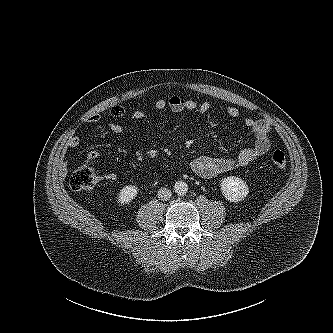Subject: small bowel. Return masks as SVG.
Segmentation results:
<instances>
[{
	"instance_id": "small-bowel-1",
	"label": "small bowel",
	"mask_w": 333,
	"mask_h": 333,
	"mask_svg": "<svg viewBox=\"0 0 333 333\" xmlns=\"http://www.w3.org/2000/svg\"><path fill=\"white\" fill-rule=\"evenodd\" d=\"M155 108L160 111L170 110L173 113L206 114L211 110V104L209 102H196L180 95H173L167 99L157 100ZM226 113L233 119H237L241 115L239 109L235 106L226 107ZM110 114L114 117H123L126 114V109L121 105H116L110 108ZM147 117V113L142 110H136L131 113V118L136 121L145 120ZM100 120L101 116L94 114L88 119V122L95 124ZM243 123L254 136V144L252 146L242 149L236 156L197 157L190 162L191 171L199 177L212 178L232 170L243 168L266 155L271 147L270 123L266 119L252 117L244 118ZM109 130L114 134H120L123 132L124 126L118 122H112L109 124ZM79 144L80 139L75 135L70 136L66 143L69 148H76ZM90 156L95 159L98 157V153L93 151ZM104 178L106 180H115L116 174L110 172Z\"/></svg>"
}]
</instances>
